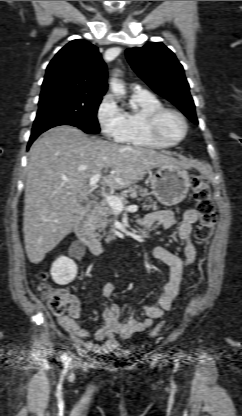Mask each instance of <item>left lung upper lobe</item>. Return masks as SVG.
Instances as JSON below:
<instances>
[{
    "label": "left lung upper lobe",
    "mask_w": 242,
    "mask_h": 416,
    "mask_svg": "<svg viewBox=\"0 0 242 416\" xmlns=\"http://www.w3.org/2000/svg\"><path fill=\"white\" fill-rule=\"evenodd\" d=\"M126 57L138 76L157 94L168 99L198 124L184 69L169 48L161 42H152L141 48L127 49Z\"/></svg>",
    "instance_id": "5c2ea615"
}]
</instances>
